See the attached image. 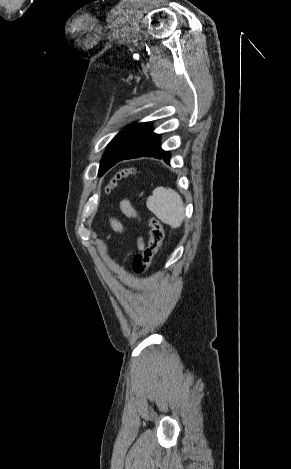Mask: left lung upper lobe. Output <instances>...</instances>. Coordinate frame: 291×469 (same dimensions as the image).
Returning <instances> with one entry per match:
<instances>
[{
	"mask_svg": "<svg viewBox=\"0 0 291 469\" xmlns=\"http://www.w3.org/2000/svg\"><path fill=\"white\" fill-rule=\"evenodd\" d=\"M153 131L150 123L132 124L119 132L108 144L98 174L103 175L116 160Z\"/></svg>",
	"mask_w": 291,
	"mask_h": 469,
	"instance_id": "left-lung-upper-lobe-1",
	"label": "left lung upper lobe"
}]
</instances>
